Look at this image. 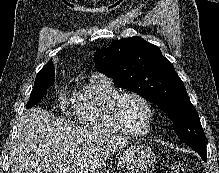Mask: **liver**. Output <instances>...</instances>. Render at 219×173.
<instances>
[{
	"mask_svg": "<svg viewBox=\"0 0 219 173\" xmlns=\"http://www.w3.org/2000/svg\"><path fill=\"white\" fill-rule=\"evenodd\" d=\"M125 139L102 136L40 107L22 114L10 152L11 173H99Z\"/></svg>",
	"mask_w": 219,
	"mask_h": 173,
	"instance_id": "obj_1",
	"label": "liver"
}]
</instances>
